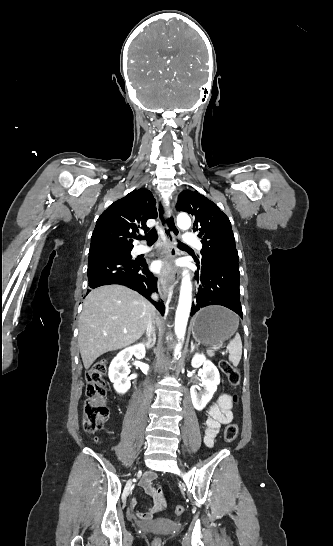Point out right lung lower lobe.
I'll list each match as a JSON object with an SVG mask.
<instances>
[{
    "instance_id": "obj_1",
    "label": "right lung lower lobe",
    "mask_w": 333,
    "mask_h": 546,
    "mask_svg": "<svg viewBox=\"0 0 333 546\" xmlns=\"http://www.w3.org/2000/svg\"><path fill=\"white\" fill-rule=\"evenodd\" d=\"M87 275L90 288L110 284L127 286L146 297L162 315L164 314L163 303L150 298L152 292H158L157 278L148 270L145 259H131L108 249L91 250Z\"/></svg>"
}]
</instances>
